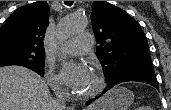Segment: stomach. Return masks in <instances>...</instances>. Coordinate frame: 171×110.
I'll use <instances>...</instances> for the list:
<instances>
[{"label":"stomach","instance_id":"1","mask_svg":"<svg viewBox=\"0 0 171 110\" xmlns=\"http://www.w3.org/2000/svg\"><path fill=\"white\" fill-rule=\"evenodd\" d=\"M134 101V94L124 88L115 87L110 90L102 99L96 110H128Z\"/></svg>","mask_w":171,"mask_h":110}]
</instances>
